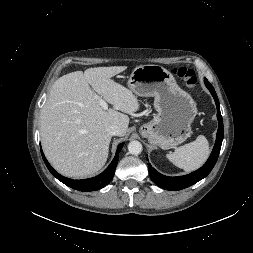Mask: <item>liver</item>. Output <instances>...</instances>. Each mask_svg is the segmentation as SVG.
<instances>
[{
	"label": "liver",
	"mask_w": 253,
	"mask_h": 253,
	"mask_svg": "<svg viewBox=\"0 0 253 253\" xmlns=\"http://www.w3.org/2000/svg\"><path fill=\"white\" fill-rule=\"evenodd\" d=\"M126 69L88 68L63 75L53 84L41 111L40 134L44 154L60 174L80 178L98 172L108 158V127L117 125L118 136L126 134L127 114L140 105L131 90L111 79ZM95 92L113 108L104 110Z\"/></svg>",
	"instance_id": "1"
}]
</instances>
